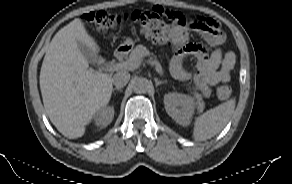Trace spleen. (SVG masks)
I'll list each match as a JSON object with an SVG mask.
<instances>
[{
  "instance_id": "spleen-1",
  "label": "spleen",
  "mask_w": 292,
  "mask_h": 184,
  "mask_svg": "<svg viewBox=\"0 0 292 184\" xmlns=\"http://www.w3.org/2000/svg\"><path fill=\"white\" fill-rule=\"evenodd\" d=\"M235 104L236 100L233 98L196 117L193 129L194 140L204 141L218 134L228 123Z\"/></svg>"
}]
</instances>
